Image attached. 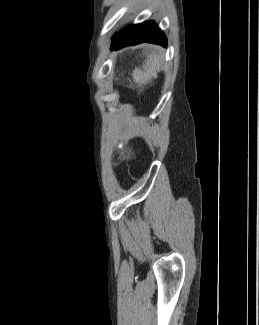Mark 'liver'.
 Returning a JSON list of instances; mask_svg holds the SVG:
<instances>
[{
    "label": "liver",
    "mask_w": 259,
    "mask_h": 325,
    "mask_svg": "<svg viewBox=\"0 0 259 325\" xmlns=\"http://www.w3.org/2000/svg\"><path fill=\"white\" fill-rule=\"evenodd\" d=\"M160 70V58L158 54L153 53L147 57L145 64L143 65V70L135 68L133 70L132 76L134 82L137 83L138 87L143 89V86L147 85L152 81V79L157 78V73Z\"/></svg>",
    "instance_id": "1"
}]
</instances>
